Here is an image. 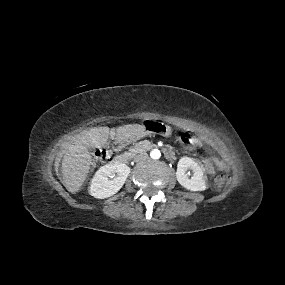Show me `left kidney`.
I'll list each match as a JSON object with an SVG mask.
<instances>
[{"label": "left kidney", "mask_w": 285, "mask_h": 285, "mask_svg": "<svg viewBox=\"0 0 285 285\" xmlns=\"http://www.w3.org/2000/svg\"><path fill=\"white\" fill-rule=\"evenodd\" d=\"M188 169L193 171L191 178L186 174ZM176 178L180 185L190 191H204L206 189L203 166L192 158L182 157L179 160Z\"/></svg>", "instance_id": "obj_1"}]
</instances>
